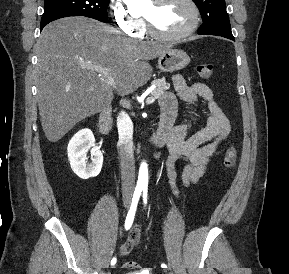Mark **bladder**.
I'll return each mask as SVG.
<instances>
[{"mask_svg": "<svg viewBox=\"0 0 289 274\" xmlns=\"http://www.w3.org/2000/svg\"><path fill=\"white\" fill-rule=\"evenodd\" d=\"M124 274H145V273H141V272H126Z\"/></svg>", "mask_w": 289, "mask_h": 274, "instance_id": "obj_1", "label": "bladder"}]
</instances>
